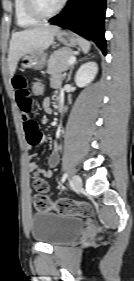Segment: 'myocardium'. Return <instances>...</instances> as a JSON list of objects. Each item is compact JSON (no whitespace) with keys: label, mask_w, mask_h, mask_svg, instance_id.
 I'll return each mask as SVG.
<instances>
[{"label":"myocardium","mask_w":134,"mask_h":281,"mask_svg":"<svg viewBox=\"0 0 134 281\" xmlns=\"http://www.w3.org/2000/svg\"><path fill=\"white\" fill-rule=\"evenodd\" d=\"M66 1L67 0H61L58 6L50 12L43 11L40 8L37 0H25V6L31 16L38 20H43L56 16L63 9Z\"/></svg>","instance_id":"myocardium-1"}]
</instances>
